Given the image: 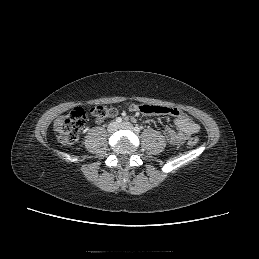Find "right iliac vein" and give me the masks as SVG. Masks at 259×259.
<instances>
[{
	"mask_svg": "<svg viewBox=\"0 0 259 259\" xmlns=\"http://www.w3.org/2000/svg\"><path fill=\"white\" fill-rule=\"evenodd\" d=\"M118 129V124L116 122H112L108 126V132L113 133Z\"/></svg>",
	"mask_w": 259,
	"mask_h": 259,
	"instance_id": "obj_1",
	"label": "right iliac vein"
}]
</instances>
